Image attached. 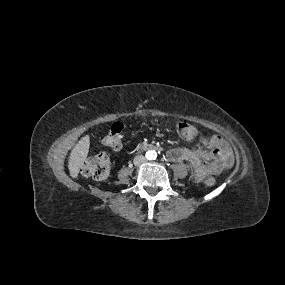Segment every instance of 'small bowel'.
Returning a JSON list of instances; mask_svg holds the SVG:
<instances>
[{
  "instance_id": "c3829d8e",
  "label": "small bowel",
  "mask_w": 285,
  "mask_h": 285,
  "mask_svg": "<svg viewBox=\"0 0 285 285\" xmlns=\"http://www.w3.org/2000/svg\"><path fill=\"white\" fill-rule=\"evenodd\" d=\"M201 144L203 149L174 148L167 156L173 162L189 161L197 180L207 174H219L232 167L233 152L225 139L219 136L202 138Z\"/></svg>"
}]
</instances>
